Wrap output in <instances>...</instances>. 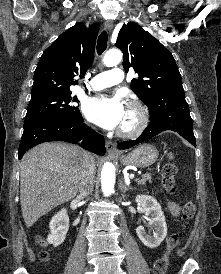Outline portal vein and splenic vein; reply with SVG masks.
<instances>
[{
  "mask_svg": "<svg viewBox=\"0 0 221 274\" xmlns=\"http://www.w3.org/2000/svg\"><path fill=\"white\" fill-rule=\"evenodd\" d=\"M129 177H130V179H134V175L133 174H131Z\"/></svg>",
  "mask_w": 221,
  "mask_h": 274,
  "instance_id": "18ae733b",
  "label": "portal vein and splenic vein"
}]
</instances>
